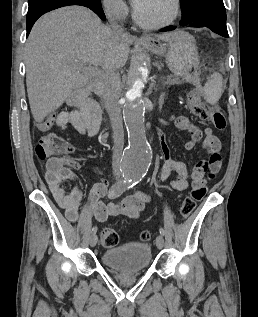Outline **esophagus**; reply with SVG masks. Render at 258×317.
Instances as JSON below:
<instances>
[{"instance_id":"esophagus-1","label":"esophagus","mask_w":258,"mask_h":317,"mask_svg":"<svg viewBox=\"0 0 258 317\" xmlns=\"http://www.w3.org/2000/svg\"><path fill=\"white\" fill-rule=\"evenodd\" d=\"M147 38H149L148 35H143V36L139 37L138 40H144V39H147Z\"/></svg>"}]
</instances>
